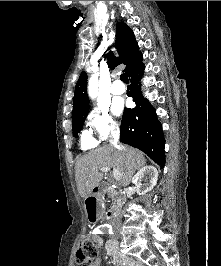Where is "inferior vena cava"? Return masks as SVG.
Segmentation results:
<instances>
[{"instance_id":"1","label":"inferior vena cava","mask_w":221,"mask_h":266,"mask_svg":"<svg viewBox=\"0 0 221 266\" xmlns=\"http://www.w3.org/2000/svg\"><path fill=\"white\" fill-rule=\"evenodd\" d=\"M111 134L112 135H111L110 143L112 145H114V147L117 150L122 151L123 150L122 146L118 145L119 130L118 129H114V130H112V133ZM120 225H121L120 219L119 218L114 219V221H113V227L116 228V227H119Z\"/></svg>"}]
</instances>
